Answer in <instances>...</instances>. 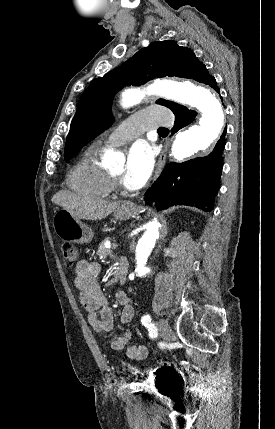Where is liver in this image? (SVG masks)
<instances>
[{
	"mask_svg": "<svg viewBox=\"0 0 275 429\" xmlns=\"http://www.w3.org/2000/svg\"><path fill=\"white\" fill-rule=\"evenodd\" d=\"M52 202L67 210L77 219L102 220L119 207V202L83 198L67 190H61L52 197Z\"/></svg>",
	"mask_w": 275,
	"mask_h": 429,
	"instance_id": "6515ba94",
	"label": "liver"
}]
</instances>
